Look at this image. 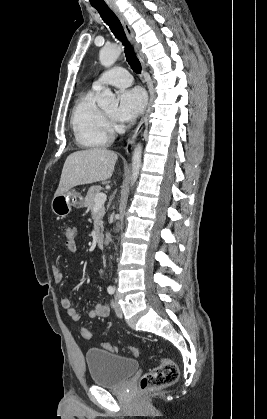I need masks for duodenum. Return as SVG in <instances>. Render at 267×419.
<instances>
[{"label": "duodenum", "mask_w": 267, "mask_h": 419, "mask_svg": "<svg viewBox=\"0 0 267 419\" xmlns=\"http://www.w3.org/2000/svg\"><path fill=\"white\" fill-rule=\"evenodd\" d=\"M97 246L103 248L106 243V238L104 234H98L96 238Z\"/></svg>", "instance_id": "duodenum-1"}]
</instances>
